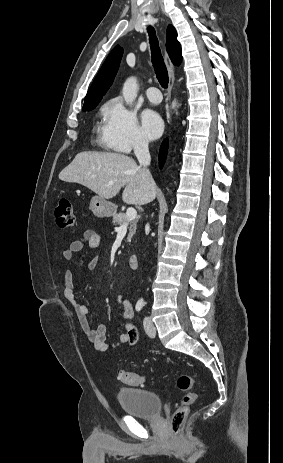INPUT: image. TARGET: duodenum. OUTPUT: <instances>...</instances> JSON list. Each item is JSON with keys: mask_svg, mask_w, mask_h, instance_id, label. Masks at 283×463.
Instances as JSON below:
<instances>
[{"mask_svg": "<svg viewBox=\"0 0 283 463\" xmlns=\"http://www.w3.org/2000/svg\"><path fill=\"white\" fill-rule=\"evenodd\" d=\"M129 266L131 269H137L138 267V257L135 255L130 256L129 258Z\"/></svg>", "mask_w": 283, "mask_h": 463, "instance_id": "duodenum-1", "label": "duodenum"}]
</instances>
